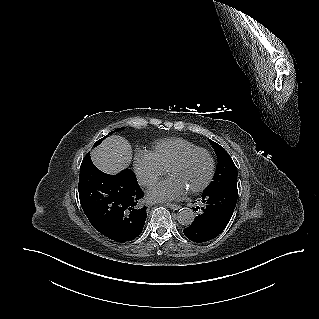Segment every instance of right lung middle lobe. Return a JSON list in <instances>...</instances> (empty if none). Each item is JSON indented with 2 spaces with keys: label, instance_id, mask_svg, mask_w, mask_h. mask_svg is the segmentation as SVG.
Here are the masks:
<instances>
[{
  "label": "right lung middle lobe",
  "instance_id": "1",
  "mask_svg": "<svg viewBox=\"0 0 319 319\" xmlns=\"http://www.w3.org/2000/svg\"><path fill=\"white\" fill-rule=\"evenodd\" d=\"M122 129H124V128H117L115 131H120V130H122ZM111 134H113V132H110L109 133V135H111ZM107 136H105L104 138H102V139H100V140H98L95 144H94V146H97L102 140H104L105 138H106Z\"/></svg>",
  "mask_w": 319,
  "mask_h": 319
}]
</instances>
